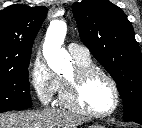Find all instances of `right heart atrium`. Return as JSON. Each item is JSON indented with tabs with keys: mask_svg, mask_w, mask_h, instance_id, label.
<instances>
[{
	"mask_svg": "<svg viewBox=\"0 0 142 128\" xmlns=\"http://www.w3.org/2000/svg\"><path fill=\"white\" fill-rule=\"evenodd\" d=\"M33 91L43 105L54 100L60 88V78L49 68L43 57L37 55L31 62L29 71Z\"/></svg>",
	"mask_w": 142,
	"mask_h": 128,
	"instance_id": "1",
	"label": "right heart atrium"
}]
</instances>
